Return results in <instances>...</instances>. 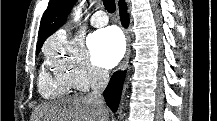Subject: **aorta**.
I'll list each match as a JSON object with an SVG mask.
<instances>
[{"instance_id": "762f6f07", "label": "aorta", "mask_w": 217, "mask_h": 121, "mask_svg": "<svg viewBox=\"0 0 217 121\" xmlns=\"http://www.w3.org/2000/svg\"><path fill=\"white\" fill-rule=\"evenodd\" d=\"M81 6H82V3L80 4V7L75 12V20L76 21L80 18V15H81Z\"/></svg>"}]
</instances>
